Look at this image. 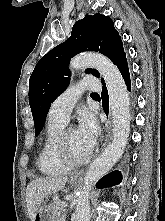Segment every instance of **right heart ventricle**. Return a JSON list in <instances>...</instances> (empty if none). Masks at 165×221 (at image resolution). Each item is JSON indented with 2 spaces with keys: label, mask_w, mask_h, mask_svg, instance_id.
<instances>
[{
  "label": "right heart ventricle",
  "mask_w": 165,
  "mask_h": 221,
  "mask_svg": "<svg viewBox=\"0 0 165 221\" xmlns=\"http://www.w3.org/2000/svg\"><path fill=\"white\" fill-rule=\"evenodd\" d=\"M64 126L65 123L60 121L49 119L47 122L37 161L39 170L45 175L57 176L70 170V167L59 161L56 154V141Z\"/></svg>",
  "instance_id": "e07e8e85"
}]
</instances>
